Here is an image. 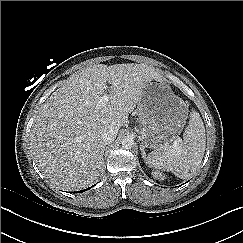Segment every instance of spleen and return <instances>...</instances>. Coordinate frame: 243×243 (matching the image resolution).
<instances>
[{"instance_id": "spleen-1", "label": "spleen", "mask_w": 243, "mask_h": 243, "mask_svg": "<svg viewBox=\"0 0 243 243\" xmlns=\"http://www.w3.org/2000/svg\"><path fill=\"white\" fill-rule=\"evenodd\" d=\"M206 148L205 127L198 112L192 111L183 139L165 144L147 156V163L155 169L171 171L186 179L200 167Z\"/></svg>"}]
</instances>
